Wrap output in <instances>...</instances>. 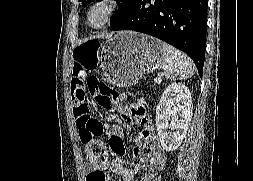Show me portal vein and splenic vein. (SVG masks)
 I'll use <instances>...</instances> for the list:
<instances>
[{
  "label": "portal vein and splenic vein",
  "instance_id": "portal-vein-and-splenic-vein-1",
  "mask_svg": "<svg viewBox=\"0 0 253 181\" xmlns=\"http://www.w3.org/2000/svg\"><path fill=\"white\" fill-rule=\"evenodd\" d=\"M155 81H156V82H161V80H160V79H156Z\"/></svg>",
  "mask_w": 253,
  "mask_h": 181
}]
</instances>
